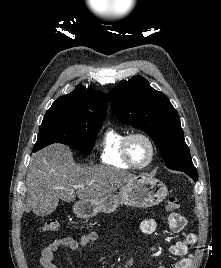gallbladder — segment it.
Wrapping results in <instances>:
<instances>
[{
    "instance_id": "gallbladder-1",
    "label": "gallbladder",
    "mask_w": 221,
    "mask_h": 268,
    "mask_svg": "<svg viewBox=\"0 0 221 268\" xmlns=\"http://www.w3.org/2000/svg\"><path fill=\"white\" fill-rule=\"evenodd\" d=\"M57 199H34V213L36 217H48L53 213Z\"/></svg>"
}]
</instances>
